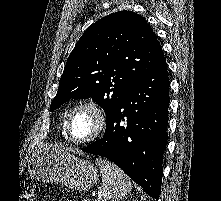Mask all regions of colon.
I'll use <instances>...</instances> for the list:
<instances>
[{
    "mask_svg": "<svg viewBox=\"0 0 221 201\" xmlns=\"http://www.w3.org/2000/svg\"><path fill=\"white\" fill-rule=\"evenodd\" d=\"M21 201H33V196L32 193L30 191L26 192L22 198Z\"/></svg>",
    "mask_w": 221,
    "mask_h": 201,
    "instance_id": "5ec220e1",
    "label": "colon"
}]
</instances>
